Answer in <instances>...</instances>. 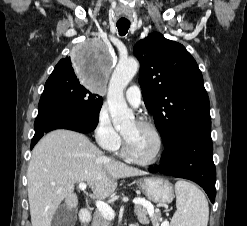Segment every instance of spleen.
Returning a JSON list of instances; mask_svg holds the SVG:
<instances>
[{
	"mask_svg": "<svg viewBox=\"0 0 247 226\" xmlns=\"http://www.w3.org/2000/svg\"><path fill=\"white\" fill-rule=\"evenodd\" d=\"M176 212L171 226H207L209 207L205 195L192 183L179 180L175 184Z\"/></svg>",
	"mask_w": 247,
	"mask_h": 226,
	"instance_id": "spleen-1",
	"label": "spleen"
}]
</instances>
